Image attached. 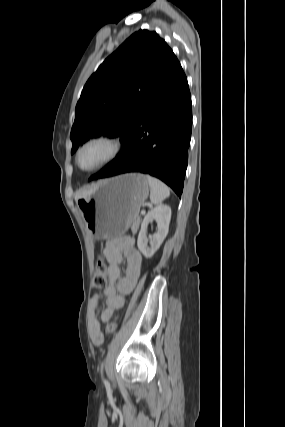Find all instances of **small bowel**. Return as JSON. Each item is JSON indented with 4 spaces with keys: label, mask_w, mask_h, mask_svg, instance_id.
I'll use <instances>...</instances> for the list:
<instances>
[{
    "label": "small bowel",
    "mask_w": 285,
    "mask_h": 427,
    "mask_svg": "<svg viewBox=\"0 0 285 427\" xmlns=\"http://www.w3.org/2000/svg\"><path fill=\"white\" fill-rule=\"evenodd\" d=\"M108 267V284L104 289L106 296V308L100 311V319L107 322L113 312L122 308L124 296L129 294L139 278L142 266V256L135 247V240L130 236H123L111 240L104 249ZM126 261V271L120 277V265ZM100 294L95 293L91 297V306L94 311H98ZM91 339L94 345L100 346L104 342V334L100 327V322L94 318L91 326Z\"/></svg>",
    "instance_id": "obj_1"
}]
</instances>
